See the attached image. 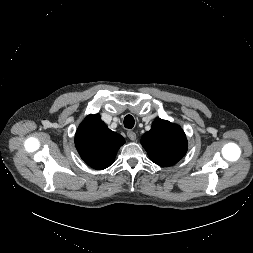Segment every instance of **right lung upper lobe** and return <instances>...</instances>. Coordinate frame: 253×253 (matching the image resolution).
Instances as JSON below:
<instances>
[{"instance_id":"obj_1","label":"right lung upper lobe","mask_w":253,"mask_h":253,"mask_svg":"<svg viewBox=\"0 0 253 253\" xmlns=\"http://www.w3.org/2000/svg\"><path fill=\"white\" fill-rule=\"evenodd\" d=\"M125 139L111 131L99 114L89 115L75 135L76 149L86 164L98 170L109 167Z\"/></svg>"}]
</instances>
